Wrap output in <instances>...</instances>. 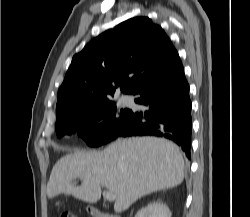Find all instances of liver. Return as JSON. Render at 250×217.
Instances as JSON below:
<instances>
[{
    "mask_svg": "<svg viewBox=\"0 0 250 217\" xmlns=\"http://www.w3.org/2000/svg\"><path fill=\"white\" fill-rule=\"evenodd\" d=\"M184 168L179 148L169 140L120 138L100 152L78 150L63 156L51 171L47 196L64 193L93 204L106 187L116 197L115 212L121 213L143 196L181 184ZM75 178L81 186L72 183Z\"/></svg>",
    "mask_w": 250,
    "mask_h": 217,
    "instance_id": "liver-1",
    "label": "liver"
}]
</instances>
